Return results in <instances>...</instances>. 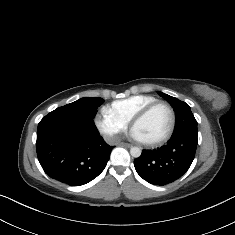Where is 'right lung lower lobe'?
Here are the masks:
<instances>
[{
  "label": "right lung lower lobe",
  "mask_w": 235,
  "mask_h": 235,
  "mask_svg": "<svg viewBox=\"0 0 235 235\" xmlns=\"http://www.w3.org/2000/svg\"><path fill=\"white\" fill-rule=\"evenodd\" d=\"M112 149L93 119L82 114L57 108L38 124V160L49 177L62 183L80 186L96 178Z\"/></svg>",
  "instance_id": "1"
}]
</instances>
